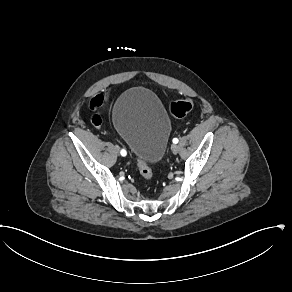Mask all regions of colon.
Instances as JSON below:
<instances>
[{
    "mask_svg": "<svg viewBox=\"0 0 292 292\" xmlns=\"http://www.w3.org/2000/svg\"><path fill=\"white\" fill-rule=\"evenodd\" d=\"M104 94L103 93H96L94 96L93 101L89 102V109L90 110H97L98 106L104 102ZM193 108V103L189 99H180V100H173L169 102L168 111L172 117L181 118L184 117L187 113H189ZM91 123L99 128L101 125L100 116L94 114L91 116ZM135 163L138 167L139 173L145 181H151L153 178V173L150 165L141 157H137L135 159Z\"/></svg>",
    "mask_w": 292,
    "mask_h": 292,
    "instance_id": "1",
    "label": "colon"
}]
</instances>
